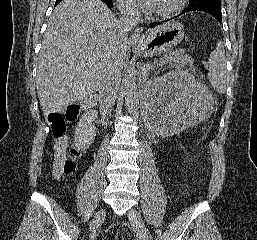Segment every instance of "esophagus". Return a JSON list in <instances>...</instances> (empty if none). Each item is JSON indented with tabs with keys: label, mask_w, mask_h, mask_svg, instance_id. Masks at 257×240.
<instances>
[{
	"label": "esophagus",
	"mask_w": 257,
	"mask_h": 240,
	"mask_svg": "<svg viewBox=\"0 0 257 240\" xmlns=\"http://www.w3.org/2000/svg\"><path fill=\"white\" fill-rule=\"evenodd\" d=\"M143 28L141 26H138L132 33L130 37V41L132 44H139L143 41L142 36Z\"/></svg>",
	"instance_id": "esophagus-1"
}]
</instances>
